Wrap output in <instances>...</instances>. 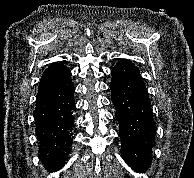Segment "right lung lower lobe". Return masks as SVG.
<instances>
[{"instance_id":"obj_1","label":"right lung lower lobe","mask_w":194,"mask_h":178,"mask_svg":"<svg viewBox=\"0 0 194 178\" xmlns=\"http://www.w3.org/2000/svg\"><path fill=\"white\" fill-rule=\"evenodd\" d=\"M70 70L39 83L33 115L39 158L49 172L61 169L71 151L75 109Z\"/></svg>"}]
</instances>
